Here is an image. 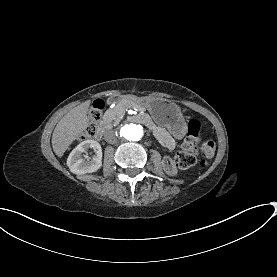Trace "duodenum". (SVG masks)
Returning a JSON list of instances; mask_svg holds the SVG:
<instances>
[{
    "label": "duodenum",
    "mask_w": 277,
    "mask_h": 277,
    "mask_svg": "<svg viewBox=\"0 0 277 277\" xmlns=\"http://www.w3.org/2000/svg\"><path fill=\"white\" fill-rule=\"evenodd\" d=\"M126 96L124 95H116L109 99V103H115L122 100H125ZM129 121L132 123L142 124L150 128L154 133H156L159 130V127L154 124V122L151 120V118L145 114H137L133 115L129 118ZM106 127L105 125H100L97 129L96 138L101 139L105 133Z\"/></svg>",
    "instance_id": "410a0bca"
}]
</instances>
